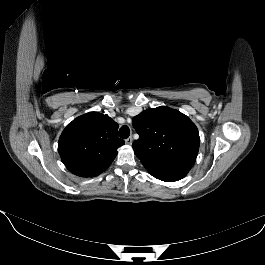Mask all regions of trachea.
<instances>
[{"label": "trachea", "mask_w": 265, "mask_h": 265, "mask_svg": "<svg viewBox=\"0 0 265 265\" xmlns=\"http://www.w3.org/2000/svg\"><path fill=\"white\" fill-rule=\"evenodd\" d=\"M119 137L122 139H127L130 135V129L127 125H123L118 133Z\"/></svg>", "instance_id": "trachea-1"}]
</instances>
